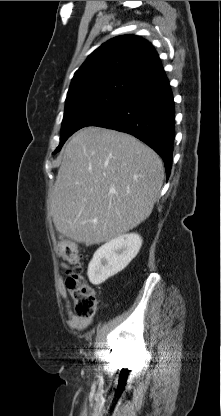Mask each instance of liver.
Returning <instances> with one entry per match:
<instances>
[{
	"mask_svg": "<svg viewBox=\"0 0 221 416\" xmlns=\"http://www.w3.org/2000/svg\"><path fill=\"white\" fill-rule=\"evenodd\" d=\"M164 179L160 157L134 136L86 127L67 143L50 198L58 232L86 246L110 241L152 213Z\"/></svg>",
	"mask_w": 221,
	"mask_h": 416,
	"instance_id": "6515ba94",
	"label": "liver"
}]
</instances>
